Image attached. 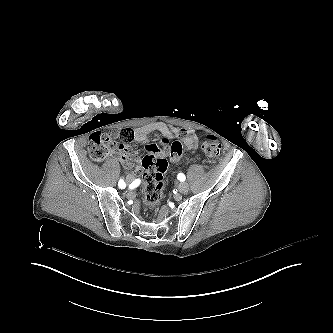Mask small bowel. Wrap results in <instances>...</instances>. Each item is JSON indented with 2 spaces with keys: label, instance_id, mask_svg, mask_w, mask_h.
Returning a JSON list of instances; mask_svg holds the SVG:
<instances>
[{
  "label": "small bowel",
  "instance_id": "c3829d8e",
  "mask_svg": "<svg viewBox=\"0 0 333 333\" xmlns=\"http://www.w3.org/2000/svg\"><path fill=\"white\" fill-rule=\"evenodd\" d=\"M147 133H158L166 138H182L185 147L189 151H193L196 148V139L199 140L201 137L199 135L195 136L192 130L183 129L175 126H170L163 122L150 123L144 127L137 129L136 135L140 139ZM210 135L207 133L204 137L207 139ZM121 150L119 156L117 153H111V158L115 159L118 156V160L126 165L127 168H132V171L127 174L126 181L130 185H136L138 183V178L142 174L141 168L138 164L137 159H135L128 148L125 147L123 143L118 145ZM182 157V156H181ZM181 157L172 158L173 161H180Z\"/></svg>",
  "mask_w": 333,
  "mask_h": 333
}]
</instances>
